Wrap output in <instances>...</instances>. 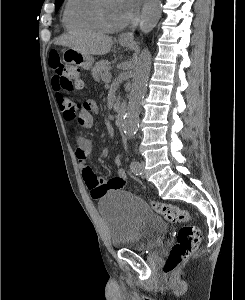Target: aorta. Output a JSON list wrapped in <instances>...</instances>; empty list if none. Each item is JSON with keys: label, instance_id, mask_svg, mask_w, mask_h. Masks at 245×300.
I'll return each mask as SVG.
<instances>
[{"label": "aorta", "instance_id": "obj_1", "mask_svg": "<svg viewBox=\"0 0 245 300\" xmlns=\"http://www.w3.org/2000/svg\"><path fill=\"white\" fill-rule=\"evenodd\" d=\"M161 13V0H151L143 7L140 20V30L143 35H148L154 29L161 17ZM150 64L151 54L145 47L141 52L140 61L134 70L129 102L123 120V131L129 138L138 129L140 106L147 89Z\"/></svg>", "mask_w": 245, "mask_h": 300}]
</instances>
